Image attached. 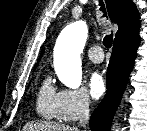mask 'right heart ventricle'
Wrapping results in <instances>:
<instances>
[{"label":"right heart ventricle","mask_w":147,"mask_h":131,"mask_svg":"<svg viewBox=\"0 0 147 131\" xmlns=\"http://www.w3.org/2000/svg\"><path fill=\"white\" fill-rule=\"evenodd\" d=\"M58 93L51 78L45 77L41 82L36 98L37 114L47 120L56 119V104Z\"/></svg>","instance_id":"obj_1"}]
</instances>
